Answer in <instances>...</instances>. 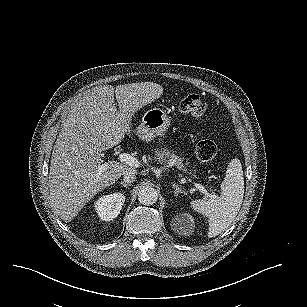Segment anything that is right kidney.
Returning <instances> with one entry per match:
<instances>
[{
	"instance_id": "right-kidney-1",
	"label": "right kidney",
	"mask_w": 307,
	"mask_h": 307,
	"mask_svg": "<svg viewBox=\"0 0 307 307\" xmlns=\"http://www.w3.org/2000/svg\"><path fill=\"white\" fill-rule=\"evenodd\" d=\"M124 203L125 195L114 192L97 197L93 202V209L101 221H111L118 216Z\"/></svg>"
}]
</instances>
